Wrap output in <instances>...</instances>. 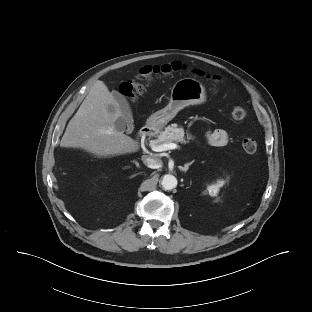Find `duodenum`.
<instances>
[{"label": "duodenum", "instance_id": "duodenum-1", "mask_svg": "<svg viewBox=\"0 0 312 312\" xmlns=\"http://www.w3.org/2000/svg\"><path fill=\"white\" fill-rule=\"evenodd\" d=\"M155 126L154 125H147L142 128L139 133L137 134V140L139 142H144L145 140L149 139L155 133Z\"/></svg>", "mask_w": 312, "mask_h": 312}]
</instances>
